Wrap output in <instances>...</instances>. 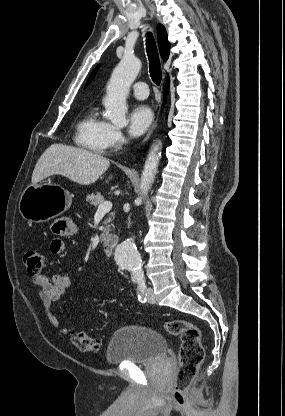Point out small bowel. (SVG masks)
Instances as JSON below:
<instances>
[{"label": "small bowel", "instance_id": "small-bowel-1", "mask_svg": "<svg viewBox=\"0 0 285 416\" xmlns=\"http://www.w3.org/2000/svg\"><path fill=\"white\" fill-rule=\"evenodd\" d=\"M77 231L76 224L68 218L55 221L52 225V233L55 237L50 243L51 253L54 255L62 254L65 251V243L62 238L73 236ZM33 283L38 288V297L44 305L50 324L61 334H69V330L63 327L57 317L51 312V305L65 296L71 286L70 277L62 273H56L51 278L45 275H38L34 277Z\"/></svg>", "mask_w": 285, "mask_h": 416}]
</instances>
